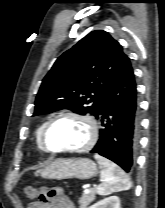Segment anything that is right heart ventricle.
Instances as JSON below:
<instances>
[{
	"mask_svg": "<svg viewBox=\"0 0 165 208\" xmlns=\"http://www.w3.org/2000/svg\"><path fill=\"white\" fill-rule=\"evenodd\" d=\"M52 117H48L46 118L41 124L40 126L38 127L37 131H36V145H37V148L40 150V151H44V149L42 148V145H41V133H42V130L44 128V126L46 125V123L51 119Z\"/></svg>",
	"mask_w": 165,
	"mask_h": 208,
	"instance_id": "right-heart-ventricle-1",
	"label": "right heart ventricle"
}]
</instances>
